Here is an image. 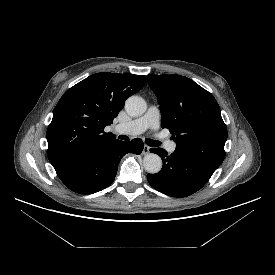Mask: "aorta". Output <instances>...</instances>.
<instances>
[{
    "instance_id": "762f6f07",
    "label": "aorta",
    "mask_w": 275,
    "mask_h": 275,
    "mask_svg": "<svg viewBox=\"0 0 275 275\" xmlns=\"http://www.w3.org/2000/svg\"><path fill=\"white\" fill-rule=\"evenodd\" d=\"M146 108L145 100L139 96H131L125 102V110L130 116H141ZM143 166L148 173L156 174L162 168V160L157 154L149 153L143 158Z\"/></svg>"
}]
</instances>
